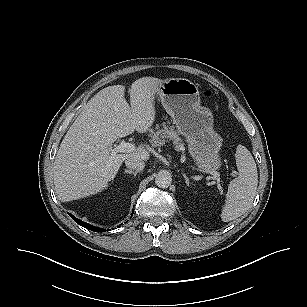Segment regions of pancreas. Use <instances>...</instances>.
<instances>
[{
    "label": "pancreas",
    "mask_w": 307,
    "mask_h": 307,
    "mask_svg": "<svg viewBox=\"0 0 307 307\" xmlns=\"http://www.w3.org/2000/svg\"><path fill=\"white\" fill-rule=\"evenodd\" d=\"M149 136L151 137L150 143L153 147H159L164 145L165 142L172 140L177 151H181L182 153L185 151V146L182 139L172 126L168 128L165 125L163 128H161L159 125H156L155 129L150 130Z\"/></svg>",
    "instance_id": "pancreas-1"
}]
</instances>
